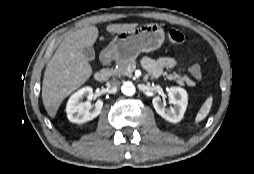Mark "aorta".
<instances>
[{"label":"aorta","instance_id":"1","mask_svg":"<svg viewBox=\"0 0 254 174\" xmlns=\"http://www.w3.org/2000/svg\"><path fill=\"white\" fill-rule=\"evenodd\" d=\"M121 91L124 95L132 96L135 94L136 89L131 82H125L121 87Z\"/></svg>","mask_w":254,"mask_h":174}]
</instances>
